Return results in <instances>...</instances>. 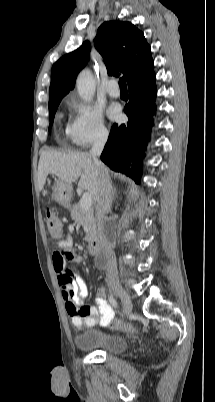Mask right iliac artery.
I'll list each match as a JSON object with an SVG mask.
<instances>
[{
    "label": "right iliac artery",
    "mask_w": 215,
    "mask_h": 402,
    "mask_svg": "<svg viewBox=\"0 0 215 402\" xmlns=\"http://www.w3.org/2000/svg\"><path fill=\"white\" fill-rule=\"evenodd\" d=\"M109 301H110V303H111V305H112L113 307H115V308L118 307V303H117V301L115 300V298H114L113 296H110V297H109Z\"/></svg>",
    "instance_id": "82829eb1"
}]
</instances>
